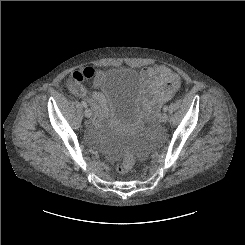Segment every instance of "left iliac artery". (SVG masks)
<instances>
[{"instance_id":"left-iliac-artery-1","label":"left iliac artery","mask_w":245,"mask_h":245,"mask_svg":"<svg viewBox=\"0 0 245 245\" xmlns=\"http://www.w3.org/2000/svg\"><path fill=\"white\" fill-rule=\"evenodd\" d=\"M168 110V106H164L163 111L166 112Z\"/></svg>"}]
</instances>
